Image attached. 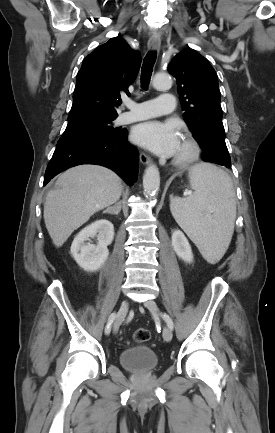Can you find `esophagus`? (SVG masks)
<instances>
[{"label":"esophagus","instance_id":"1","mask_svg":"<svg viewBox=\"0 0 275 433\" xmlns=\"http://www.w3.org/2000/svg\"><path fill=\"white\" fill-rule=\"evenodd\" d=\"M160 46H161L160 34L153 33L148 41V49L152 51H159ZM139 159L140 162L144 165H149L152 163V159L144 152H140Z\"/></svg>","mask_w":275,"mask_h":433}]
</instances>
